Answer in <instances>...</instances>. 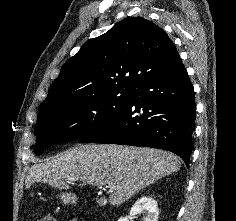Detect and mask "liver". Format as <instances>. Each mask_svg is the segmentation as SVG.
I'll use <instances>...</instances> for the list:
<instances>
[{"mask_svg":"<svg viewBox=\"0 0 236 221\" xmlns=\"http://www.w3.org/2000/svg\"><path fill=\"white\" fill-rule=\"evenodd\" d=\"M179 169L178 157L163 150L87 144L34 164L26 177V186L43 182L67 190L70 178H77L84 185L113 184L115 188L109 202L119 206L156 180Z\"/></svg>","mask_w":236,"mask_h":221,"instance_id":"liver-1","label":"liver"}]
</instances>
